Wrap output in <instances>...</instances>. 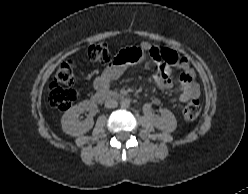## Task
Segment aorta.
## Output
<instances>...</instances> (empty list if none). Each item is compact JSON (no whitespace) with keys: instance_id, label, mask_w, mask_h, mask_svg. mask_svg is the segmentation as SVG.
<instances>
[{"instance_id":"762f6f07","label":"aorta","mask_w":248,"mask_h":194,"mask_svg":"<svg viewBox=\"0 0 248 194\" xmlns=\"http://www.w3.org/2000/svg\"><path fill=\"white\" fill-rule=\"evenodd\" d=\"M120 106L122 107V108H129V106H130V99H128V98H125V99H122L121 100V102H120Z\"/></svg>"}]
</instances>
